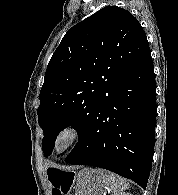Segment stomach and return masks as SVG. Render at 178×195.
Masks as SVG:
<instances>
[{"instance_id":"1","label":"stomach","mask_w":178,"mask_h":195,"mask_svg":"<svg viewBox=\"0 0 178 195\" xmlns=\"http://www.w3.org/2000/svg\"><path fill=\"white\" fill-rule=\"evenodd\" d=\"M58 175H62V171L54 169ZM73 183L75 184L73 195H99L105 187L101 176L96 169L84 168L77 172L74 176Z\"/></svg>"}]
</instances>
